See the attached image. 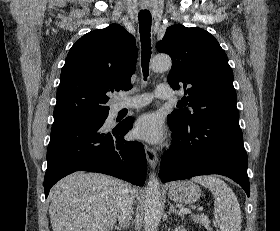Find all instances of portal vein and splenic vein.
<instances>
[{"label":"portal vein and splenic vein","mask_w":280,"mask_h":231,"mask_svg":"<svg viewBox=\"0 0 280 231\" xmlns=\"http://www.w3.org/2000/svg\"><path fill=\"white\" fill-rule=\"evenodd\" d=\"M182 211H184V213H190L189 209H182Z\"/></svg>","instance_id":"portal-vein-and-splenic-vein-1"}]
</instances>
